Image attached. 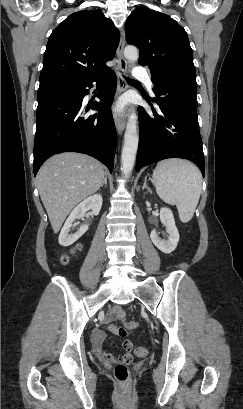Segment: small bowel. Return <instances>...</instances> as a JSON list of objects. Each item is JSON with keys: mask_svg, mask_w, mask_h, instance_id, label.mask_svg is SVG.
Returning a JSON list of instances; mask_svg holds the SVG:
<instances>
[{"mask_svg": "<svg viewBox=\"0 0 243 409\" xmlns=\"http://www.w3.org/2000/svg\"><path fill=\"white\" fill-rule=\"evenodd\" d=\"M118 320H124L123 308L121 306H115L106 314L103 322L105 330H110L112 323ZM105 330L96 329L91 335L90 345L96 357L105 364H112L118 361L125 363L131 362L133 358V342L130 340H123L122 346L126 353L122 357L114 358L110 353L103 349Z\"/></svg>", "mask_w": 243, "mask_h": 409, "instance_id": "small-bowel-1", "label": "small bowel"}]
</instances>
